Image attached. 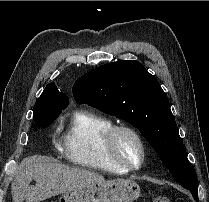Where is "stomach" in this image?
Instances as JSON below:
<instances>
[{
    "mask_svg": "<svg viewBox=\"0 0 209 202\" xmlns=\"http://www.w3.org/2000/svg\"><path fill=\"white\" fill-rule=\"evenodd\" d=\"M139 196L140 187L136 182L117 179L64 193L58 202H133Z\"/></svg>",
    "mask_w": 209,
    "mask_h": 202,
    "instance_id": "0dacf381",
    "label": "stomach"
}]
</instances>
